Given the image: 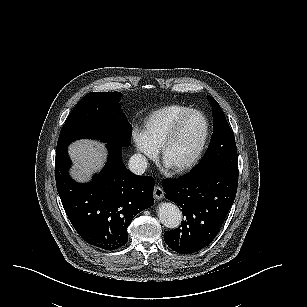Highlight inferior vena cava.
Masks as SVG:
<instances>
[{
    "label": "inferior vena cava",
    "mask_w": 307,
    "mask_h": 307,
    "mask_svg": "<svg viewBox=\"0 0 307 307\" xmlns=\"http://www.w3.org/2000/svg\"><path fill=\"white\" fill-rule=\"evenodd\" d=\"M128 169L135 175H143L147 169L146 157L140 153L131 155L128 160Z\"/></svg>",
    "instance_id": "obj_1"
}]
</instances>
